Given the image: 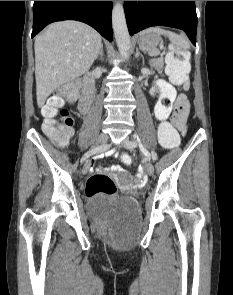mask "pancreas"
Returning a JSON list of instances; mask_svg holds the SVG:
<instances>
[{"label":"pancreas","mask_w":233,"mask_h":295,"mask_svg":"<svg viewBox=\"0 0 233 295\" xmlns=\"http://www.w3.org/2000/svg\"><path fill=\"white\" fill-rule=\"evenodd\" d=\"M150 66L156 70H161L164 66V59L162 57L150 61Z\"/></svg>","instance_id":"obj_1"}]
</instances>
